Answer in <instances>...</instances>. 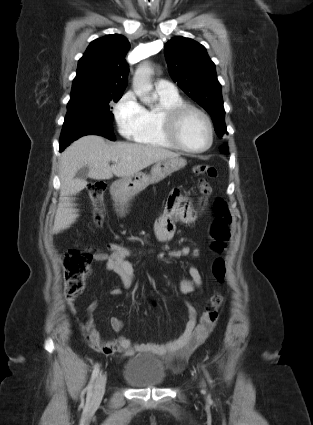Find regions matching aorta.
I'll return each mask as SVG.
<instances>
[{
  "label": "aorta",
  "mask_w": 313,
  "mask_h": 425,
  "mask_svg": "<svg viewBox=\"0 0 313 425\" xmlns=\"http://www.w3.org/2000/svg\"><path fill=\"white\" fill-rule=\"evenodd\" d=\"M152 73L153 70L149 63L145 62L138 66L133 76V90L139 99L145 104H150L152 102V98L150 96V92L153 88L151 84Z\"/></svg>",
  "instance_id": "1"
}]
</instances>
